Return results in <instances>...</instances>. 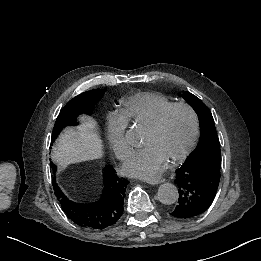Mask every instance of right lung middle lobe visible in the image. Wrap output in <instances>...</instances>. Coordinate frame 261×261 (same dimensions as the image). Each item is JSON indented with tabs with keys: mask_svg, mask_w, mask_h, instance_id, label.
Segmentation results:
<instances>
[{
	"mask_svg": "<svg viewBox=\"0 0 261 261\" xmlns=\"http://www.w3.org/2000/svg\"><path fill=\"white\" fill-rule=\"evenodd\" d=\"M105 90L95 89L84 92L72 100L60 111L52 132V142L55 141L61 129L65 126H75L77 116L81 114L91 115L95 104L102 98ZM52 169L56 171V166L51 165Z\"/></svg>",
	"mask_w": 261,
	"mask_h": 261,
	"instance_id": "1",
	"label": "right lung middle lobe"
}]
</instances>
